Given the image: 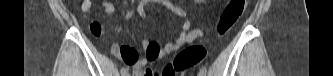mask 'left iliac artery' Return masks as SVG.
<instances>
[{
    "label": "left iliac artery",
    "instance_id": "44dca946",
    "mask_svg": "<svg viewBox=\"0 0 333 76\" xmlns=\"http://www.w3.org/2000/svg\"><path fill=\"white\" fill-rule=\"evenodd\" d=\"M200 72L206 74L207 70H206V68L203 67V68L200 70Z\"/></svg>",
    "mask_w": 333,
    "mask_h": 76
}]
</instances>
